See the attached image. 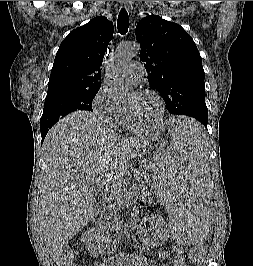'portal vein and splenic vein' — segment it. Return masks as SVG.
Wrapping results in <instances>:
<instances>
[{
	"label": "portal vein and splenic vein",
	"instance_id": "portal-vein-and-splenic-vein-1",
	"mask_svg": "<svg viewBox=\"0 0 253 266\" xmlns=\"http://www.w3.org/2000/svg\"><path fill=\"white\" fill-rule=\"evenodd\" d=\"M93 183H96L98 186H100L102 189L107 191L109 194H117L119 195V191L117 187L113 186L110 187V184L108 181L102 179L101 177H94L91 179Z\"/></svg>",
	"mask_w": 253,
	"mask_h": 266
}]
</instances>
